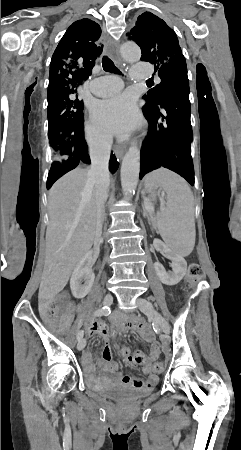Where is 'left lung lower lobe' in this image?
I'll return each instance as SVG.
<instances>
[{
	"label": "left lung lower lobe",
	"instance_id": "1",
	"mask_svg": "<svg viewBox=\"0 0 241 450\" xmlns=\"http://www.w3.org/2000/svg\"><path fill=\"white\" fill-rule=\"evenodd\" d=\"M142 110L149 129L141 149L140 179L165 167L194 185L189 91L170 92L160 104H150Z\"/></svg>",
	"mask_w": 241,
	"mask_h": 450
}]
</instances>
